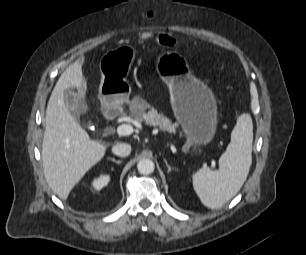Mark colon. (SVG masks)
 Here are the masks:
<instances>
[{"label": "colon", "instance_id": "5ec220e1", "mask_svg": "<svg viewBox=\"0 0 306 255\" xmlns=\"http://www.w3.org/2000/svg\"><path fill=\"white\" fill-rule=\"evenodd\" d=\"M157 10L155 8H152L150 10L147 11V17L151 18L156 14ZM151 37L150 33H146L145 35H143V39L147 40ZM159 42L167 47H173L175 46V40L172 39L171 37L167 36V35H159L158 37Z\"/></svg>", "mask_w": 306, "mask_h": 255}]
</instances>
